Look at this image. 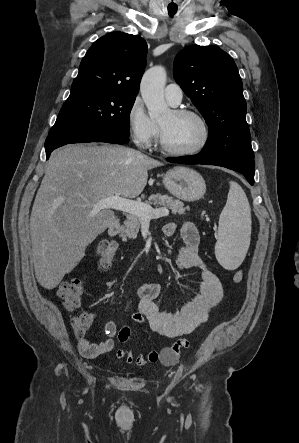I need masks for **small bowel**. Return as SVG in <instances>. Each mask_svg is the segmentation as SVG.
<instances>
[{
    "mask_svg": "<svg viewBox=\"0 0 299 443\" xmlns=\"http://www.w3.org/2000/svg\"><path fill=\"white\" fill-rule=\"evenodd\" d=\"M175 230L176 226L173 223L164 227V233L167 236H172ZM181 236L183 245L176 254L175 264L180 269H201V281L197 292L182 306L181 310L171 312L158 304L161 286L153 282H143L138 287L140 301L137 310L134 311V320L130 322L135 325L147 323L152 331L166 338H178L191 334L196 327L207 320L210 310L223 300L225 294L220 278L208 268L199 254L200 237L195 225L188 221L184 222L181 227ZM90 316L94 318L93 314ZM104 332L108 338L100 343H92L83 335L80 336L79 351L83 357L92 359L114 351V337H117L122 344L127 343L131 336V327L126 325L119 329L114 321H108ZM188 346L189 342L186 339L176 341L169 348L173 359ZM115 356L127 364L135 363L138 366L156 363L160 359L157 351H150L146 356L135 357L128 350L118 349L115 351Z\"/></svg>",
    "mask_w": 299,
    "mask_h": 443,
    "instance_id": "small-bowel-1",
    "label": "small bowel"
}]
</instances>
